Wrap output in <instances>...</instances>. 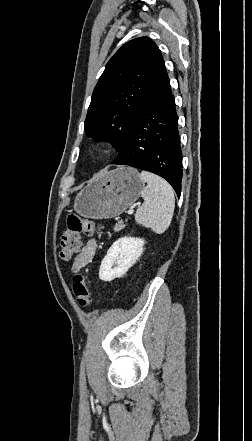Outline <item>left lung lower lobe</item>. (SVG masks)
I'll list each match as a JSON object with an SVG mask.
<instances>
[{
	"label": "left lung lower lobe",
	"mask_w": 252,
	"mask_h": 441,
	"mask_svg": "<svg viewBox=\"0 0 252 441\" xmlns=\"http://www.w3.org/2000/svg\"><path fill=\"white\" fill-rule=\"evenodd\" d=\"M177 122L175 99L161 57L127 140L111 164L155 173L166 179L180 196L182 151Z\"/></svg>",
	"instance_id": "left-lung-lower-lobe-1"
}]
</instances>
